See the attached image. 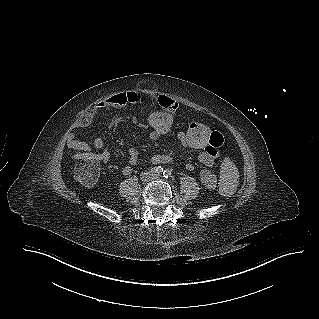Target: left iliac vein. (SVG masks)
I'll return each instance as SVG.
<instances>
[{"mask_svg":"<svg viewBox=\"0 0 319 319\" xmlns=\"http://www.w3.org/2000/svg\"><path fill=\"white\" fill-rule=\"evenodd\" d=\"M151 178H152V179H159V178H160V175L157 174V173H152V174H151Z\"/></svg>","mask_w":319,"mask_h":319,"instance_id":"left-iliac-vein-1","label":"left iliac vein"}]
</instances>
